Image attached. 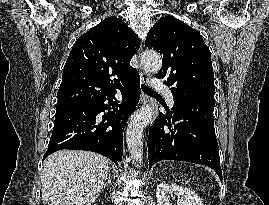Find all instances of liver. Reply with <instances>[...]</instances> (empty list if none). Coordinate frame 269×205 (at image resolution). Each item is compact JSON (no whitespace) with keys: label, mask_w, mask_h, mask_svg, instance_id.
Masks as SVG:
<instances>
[{"label":"liver","mask_w":269,"mask_h":205,"mask_svg":"<svg viewBox=\"0 0 269 205\" xmlns=\"http://www.w3.org/2000/svg\"><path fill=\"white\" fill-rule=\"evenodd\" d=\"M110 172L108 160L96 153L61 150L43 164V205H92Z\"/></svg>","instance_id":"1"}]
</instances>
